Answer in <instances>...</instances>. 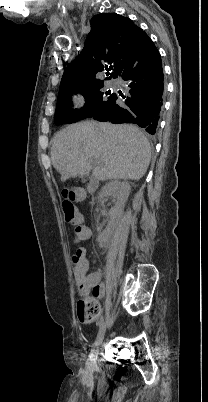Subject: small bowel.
<instances>
[{"instance_id": "obj_1", "label": "small bowel", "mask_w": 208, "mask_h": 402, "mask_svg": "<svg viewBox=\"0 0 208 402\" xmlns=\"http://www.w3.org/2000/svg\"><path fill=\"white\" fill-rule=\"evenodd\" d=\"M85 228V236L80 237V242L81 243H86L87 238L91 236V231ZM83 254H85V251L83 250ZM89 268L90 264L89 261L86 259L85 266L84 267H73V273H74V278L75 282L77 285L78 292L81 296L85 297L86 299H89V296L84 293V282L86 280H91L93 282V293L96 298H101L104 296L105 293V285L104 277L98 278V272L94 271L93 274H89ZM80 324L79 327L81 330H95L97 328V324L100 322V317L98 315H93L90 317L89 315H82L79 318ZM108 327L110 329H113L115 327V324L113 322H110L108 324Z\"/></svg>"}]
</instances>
